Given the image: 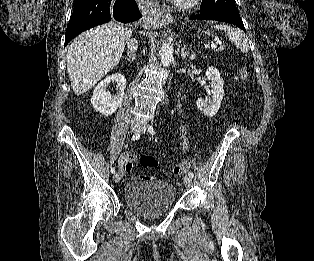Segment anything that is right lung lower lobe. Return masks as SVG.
Listing matches in <instances>:
<instances>
[{
    "instance_id": "1",
    "label": "right lung lower lobe",
    "mask_w": 314,
    "mask_h": 261,
    "mask_svg": "<svg viewBox=\"0 0 314 261\" xmlns=\"http://www.w3.org/2000/svg\"><path fill=\"white\" fill-rule=\"evenodd\" d=\"M141 17L135 0H77L66 29L65 46L83 31L113 18L128 23Z\"/></svg>"
}]
</instances>
